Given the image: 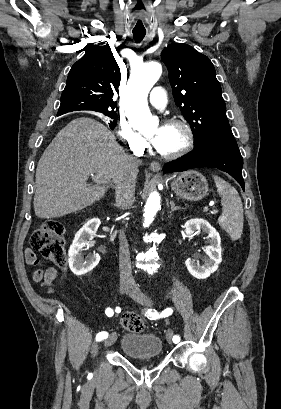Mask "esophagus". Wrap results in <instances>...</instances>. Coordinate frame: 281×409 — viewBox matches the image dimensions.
I'll list each match as a JSON object with an SVG mask.
<instances>
[{"mask_svg": "<svg viewBox=\"0 0 281 409\" xmlns=\"http://www.w3.org/2000/svg\"><path fill=\"white\" fill-rule=\"evenodd\" d=\"M150 170H152L153 172L159 173V171L161 170V166L159 164V162L153 161L150 163Z\"/></svg>", "mask_w": 281, "mask_h": 409, "instance_id": "esophagus-1", "label": "esophagus"}]
</instances>
